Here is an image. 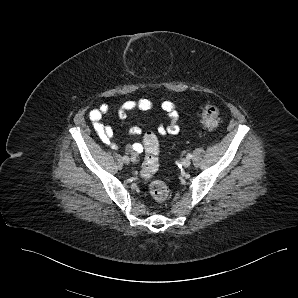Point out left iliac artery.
Segmentation results:
<instances>
[{"label": "left iliac artery", "mask_w": 298, "mask_h": 298, "mask_svg": "<svg viewBox=\"0 0 298 298\" xmlns=\"http://www.w3.org/2000/svg\"><path fill=\"white\" fill-rule=\"evenodd\" d=\"M187 158L191 159L192 158V154L191 153H188L187 154Z\"/></svg>", "instance_id": "left-iliac-artery-1"}]
</instances>
